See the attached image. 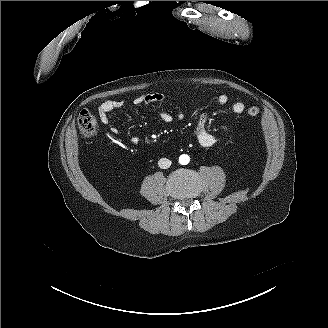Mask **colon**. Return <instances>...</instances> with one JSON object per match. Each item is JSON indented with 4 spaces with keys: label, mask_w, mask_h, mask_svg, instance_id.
Segmentation results:
<instances>
[{
    "label": "colon",
    "mask_w": 328,
    "mask_h": 328,
    "mask_svg": "<svg viewBox=\"0 0 328 328\" xmlns=\"http://www.w3.org/2000/svg\"><path fill=\"white\" fill-rule=\"evenodd\" d=\"M247 114L251 117H256L259 114V108L251 106L248 108ZM77 124L81 133L86 137L93 136L98 128L96 117L85 110L79 114Z\"/></svg>",
    "instance_id": "5ec220e1"
}]
</instances>
